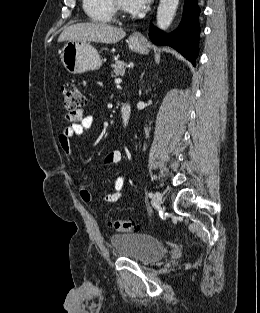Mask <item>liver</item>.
Masks as SVG:
<instances>
[{
    "instance_id": "obj_1",
    "label": "liver",
    "mask_w": 260,
    "mask_h": 313,
    "mask_svg": "<svg viewBox=\"0 0 260 313\" xmlns=\"http://www.w3.org/2000/svg\"><path fill=\"white\" fill-rule=\"evenodd\" d=\"M125 35L122 28L106 23H77L64 29L58 42L68 40L112 44L121 40Z\"/></svg>"
}]
</instances>
